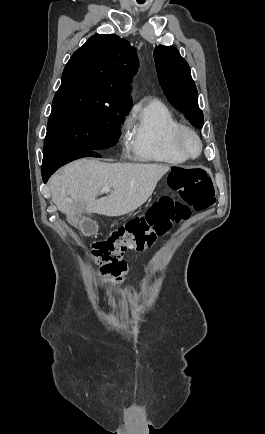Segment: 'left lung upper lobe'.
Instances as JSON below:
<instances>
[{
    "label": "left lung upper lobe",
    "mask_w": 265,
    "mask_h": 434,
    "mask_svg": "<svg viewBox=\"0 0 265 434\" xmlns=\"http://www.w3.org/2000/svg\"><path fill=\"white\" fill-rule=\"evenodd\" d=\"M159 83L168 101L197 128L203 126V113L198 106L197 89L188 63L172 46L159 45L154 50Z\"/></svg>",
    "instance_id": "1"
}]
</instances>
